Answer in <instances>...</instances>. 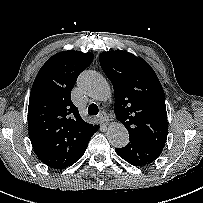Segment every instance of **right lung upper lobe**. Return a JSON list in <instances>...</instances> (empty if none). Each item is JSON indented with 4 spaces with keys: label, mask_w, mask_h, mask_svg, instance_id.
<instances>
[{
    "label": "right lung upper lobe",
    "mask_w": 203,
    "mask_h": 203,
    "mask_svg": "<svg viewBox=\"0 0 203 203\" xmlns=\"http://www.w3.org/2000/svg\"><path fill=\"white\" fill-rule=\"evenodd\" d=\"M92 60L90 52H59L47 60L34 80L28 107L29 137L38 159L52 168L72 165L99 129L83 121L71 101L77 77Z\"/></svg>",
    "instance_id": "cb5924a9"
}]
</instances>
